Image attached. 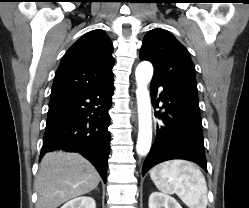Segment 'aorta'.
<instances>
[{"label": "aorta", "mask_w": 249, "mask_h": 208, "mask_svg": "<svg viewBox=\"0 0 249 208\" xmlns=\"http://www.w3.org/2000/svg\"><path fill=\"white\" fill-rule=\"evenodd\" d=\"M137 82V104L139 118V132L136 145V151L139 155H146L151 147L152 142V119H151V101L148 83L153 76V66L148 61L141 62L135 72Z\"/></svg>", "instance_id": "aorta-1"}]
</instances>
